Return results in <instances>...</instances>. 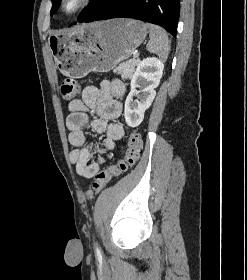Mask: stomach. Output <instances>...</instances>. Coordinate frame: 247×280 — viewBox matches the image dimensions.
<instances>
[{"instance_id":"0dacf381","label":"stomach","mask_w":247,"mask_h":280,"mask_svg":"<svg viewBox=\"0 0 247 280\" xmlns=\"http://www.w3.org/2000/svg\"><path fill=\"white\" fill-rule=\"evenodd\" d=\"M146 35L147 27L142 21L117 18L53 35L48 44L61 73L82 78L92 71L115 68L133 54Z\"/></svg>"}]
</instances>
